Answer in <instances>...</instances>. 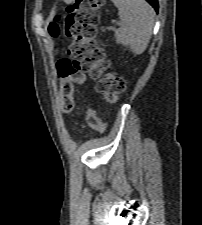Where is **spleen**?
Returning <instances> with one entry per match:
<instances>
[{
	"instance_id": "3e777b00",
	"label": "spleen",
	"mask_w": 202,
	"mask_h": 225,
	"mask_svg": "<svg viewBox=\"0 0 202 225\" xmlns=\"http://www.w3.org/2000/svg\"><path fill=\"white\" fill-rule=\"evenodd\" d=\"M118 8L121 26L115 31L118 44L128 46L139 55L148 46L155 12L145 0H111Z\"/></svg>"
}]
</instances>
